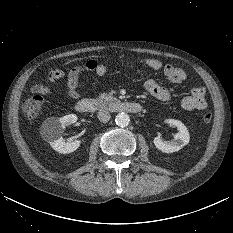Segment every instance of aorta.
Masks as SVG:
<instances>
[{
    "label": "aorta",
    "instance_id": "1",
    "mask_svg": "<svg viewBox=\"0 0 233 233\" xmlns=\"http://www.w3.org/2000/svg\"><path fill=\"white\" fill-rule=\"evenodd\" d=\"M115 122L118 126L125 127L129 124L130 117L127 113L121 112V113L117 114V116L115 118Z\"/></svg>",
    "mask_w": 233,
    "mask_h": 233
}]
</instances>
